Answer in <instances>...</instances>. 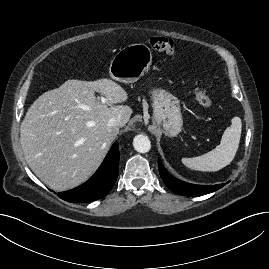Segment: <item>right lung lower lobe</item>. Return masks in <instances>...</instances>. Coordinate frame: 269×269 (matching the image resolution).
<instances>
[{
    "label": "right lung lower lobe",
    "instance_id": "right-lung-lower-lobe-1",
    "mask_svg": "<svg viewBox=\"0 0 269 269\" xmlns=\"http://www.w3.org/2000/svg\"><path fill=\"white\" fill-rule=\"evenodd\" d=\"M119 170V146L116 141L96 173L84 184L58 196L72 203L92 202L105 197L114 186Z\"/></svg>",
    "mask_w": 269,
    "mask_h": 269
}]
</instances>
